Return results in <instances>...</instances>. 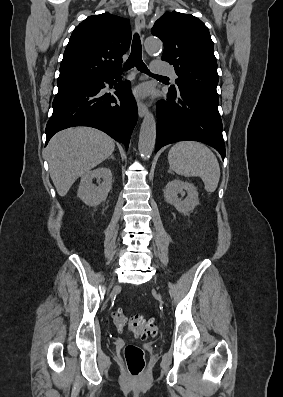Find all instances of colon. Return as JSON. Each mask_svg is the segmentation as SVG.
<instances>
[{
  "mask_svg": "<svg viewBox=\"0 0 283 397\" xmlns=\"http://www.w3.org/2000/svg\"><path fill=\"white\" fill-rule=\"evenodd\" d=\"M112 320L117 329L123 330L126 326L128 331L135 337L141 339L152 338L157 335L158 327L155 319H146L142 316L127 318L121 308H115L112 313ZM124 358L128 373L133 377H139L145 369L144 351L135 344H128L124 349Z\"/></svg>",
  "mask_w": 283,
  "mask_h": 397,
  "instance_id": "obj_1",
  "label": "colon"
}]
</instances>
